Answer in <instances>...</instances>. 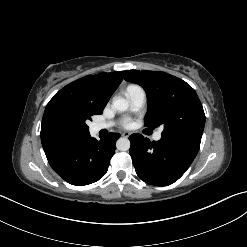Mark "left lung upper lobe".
Wrapping results in <instances>:
<instances>
[{
    "label": "left lung upper lobe",
    "instance_id": "obj_1",
    "mask_svg": "<svg viewBox=\"0 0 247 247\" xmlns=\"http://www.w3.org/2000/svg\"><path fill=\"white\" fill-rule=\"evenodd\" d=\"M123 74L126 81L139 84L147 94L146 127L163 125L162 137L199 149L205 114L189 84L164 72L126 70Z\"/></svg>",
    "mask_w": 247,
    "mask_h": 247
}]
</instances>
